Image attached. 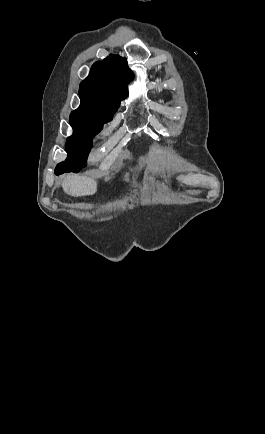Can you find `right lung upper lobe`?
Wrapping results in <instances>:
<instances>
[{"label": "right lung upper lobe", "instance_id": "cb5924a9", "mask_svg": "<svg viewBox=\"0 0 265 434\" xmlns=\"http://www.w3.org/2000/svg\"><path fill=\"white\" fill-rule=\"evenodd\" d=\"M132 78L126 59L112 55L92 65L90 75L80 84V92L95 93L120 103L128 94L125 90Z\"/></svg>", "mask_w": 265, "mask_h": 434}]
</instances>
